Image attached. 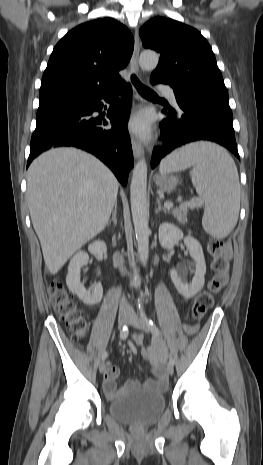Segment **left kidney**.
<instances>
[{"label": "left kidney", "mask_w": 263, "mask_h": 465, "mask_svg": "<svg viewBox=\"0 0 263 465\" xmlns=\"http://www.w3.org/2000/svg\"><path fill=\"white\" fill-rule=\"evenodd\" d=\"M184 239V244L189 250L190 256L195 261L196 271L191 283L181 279L174 269L170 271V277L177 291L185 298H192L204 286L206 263L201 244L192 236H183V232L174 224L164 222L159 226V242L163 248L174 246L179 240Z\"/></svg>", "instance_id": "1"}]
</instances>
